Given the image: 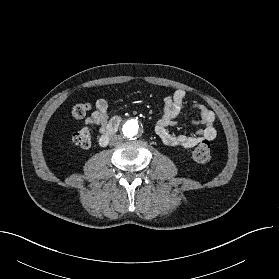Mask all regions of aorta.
Here are the masks:
<instances>
[{"instance_id":"1","label":"aorta","mask_w":279,"mask_h":279,"mask_svg":"<svg viewBox=\"0 0 279 279\" xmlns=\"http://www.w3.org/2000/svg\"><path fill=\"white\" fill-rule=\"evenodd\" d=\"M121 133L127 139L134 138L140 133V125L134 119L127 120L121 127Z\"/></svg>"}]
</instances>
